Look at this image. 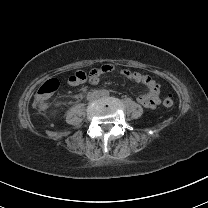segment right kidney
Here are the masks:
<instances>
[{
    "mask_svg": "<svg viewBox=\"0 0 208 208\" xmlns=\"http://www.w3.org/2000/svg\"><path fill=\"white\" fill-rule=\"evenodd\" d=\"M54 106L55 107H61V106H63V103L60 102V101H57V102L54 103Z\"/></svg>",
    "mask_w": 208,
    "mask_h": 208,
    "instance_id": "obj_1",
    "label": "right kidney"
}]
</instances>
